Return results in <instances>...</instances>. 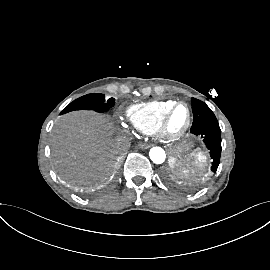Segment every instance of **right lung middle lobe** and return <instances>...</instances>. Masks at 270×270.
Listing matches in <instances>:
<instances>
[{"mask_svg":"<svg viewBox=\"0 0 270 270\" xmlns=\"http://www.w3.org/2000/svg\"><path fill=\"white\" fill-rule=\"evenodd\" d=\"M114 104V98H110L108 101H105L103 94L92 93L74 100L61 112V114L73 110H94L97 112H105Z\"/></svg>","mask_w":270,"mask_h":270,"instance_id":"obj_1","label":"right lung middle lobe"}]
</instances>
